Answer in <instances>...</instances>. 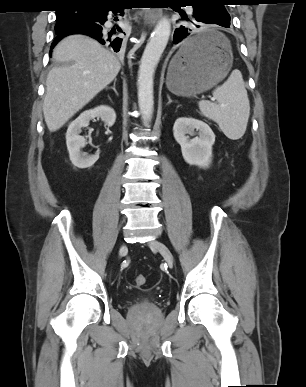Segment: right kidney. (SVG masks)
I'll use <instances>...</instances> for the list:
<instances>
[{"instance_id":"obj_1","label":"right kidney","mask_w":306,"mask_h":387,"mask_svg":"<svg viewBox=\"0 0 306 387\" xmlns=\"http://www.w3.org/2000/svg\"><path fill=\"white\" fill-rule=\"evenodd\" d=\"M95 117L101 118L106 125L112 126L116 120V113L113 108L101 105L81 113L67 129V149L69 151L70 160L75 167L81 169L88 168L99 159V153L87 155L86 153L81 152V148L85 146V138L79 135L81 133V129L83 127H87L90 120Z\"/></svg>"}]
</instances>
